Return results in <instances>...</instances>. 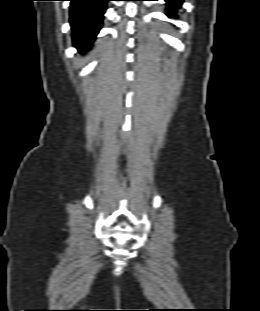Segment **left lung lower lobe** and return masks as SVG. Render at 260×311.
<instances>
[{"label": "left lung lower lobe", "mask_w": 260, "mask_h": 311, "mask_svg": "<svg viewBox=\"0 0 260 311\" xmlns=\"http://www.w3.org/2000/svg\"><path fill=\"white\" fill-rule=\"evenodd\" d=\"M165 1L167 2V6H168L167 15L169 17L173 16L172 12H174L176 8H178L183 2V0H165Z\"/></svg>", "instance_id": "0a47b994"}]
</instances>
